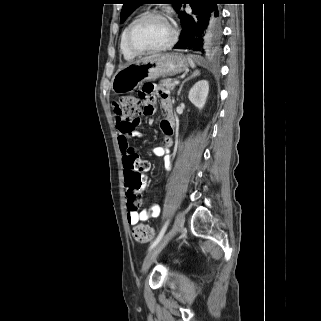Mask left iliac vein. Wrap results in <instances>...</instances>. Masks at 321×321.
<instances>
[{"mask_svg":"<svg viewBox=\"0 0 321 321\" xmlns=\"http://www.w3.org/2000/svg\"><path fill=\"white\" fill-rule=\"evenodd\" d=\"M185 217L182 212H178L174 226L173 228L160 240V242L153 247L147 256L144 259L143 265H142V272L145 273L153 261L156 259L158 254L161 252V250L168 244V242L178 233L182 230L184 225Z\"/></svg>","mask_w":321,"mask_h":321,"instance_id":"1","label":"left iliac vein"}]
</instances>
